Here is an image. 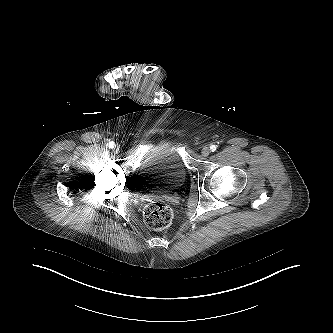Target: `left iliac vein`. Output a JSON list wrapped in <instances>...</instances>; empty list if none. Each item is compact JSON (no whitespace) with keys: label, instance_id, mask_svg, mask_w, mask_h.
<instances>
[{"label":"left iliac vein","instance_id":"1","mask_svg":"<svg viewBox=\"0 0 333 333\" xmlns=\"http://www.w3.org/2000/svg\"><path fill=\"white\" fill-rule=\"evenodd\" d=\"M201 154L204 156V157H207L209 154H210V149L209 147L205 146L202 148L201 150Z\"/></svg>","mask_w":333,"mask_h":333}]
</instances>
